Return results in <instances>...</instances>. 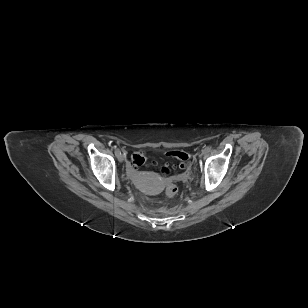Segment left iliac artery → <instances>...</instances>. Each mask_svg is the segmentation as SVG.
Returning a JSON list of instances; mask_svg holds the SVG:
<instances>
[{"label":"left iliac artery","mask_w":308,"mask_h":308,"mask_svg":"<svg viewBox=\"0 0 308 308\" xmlns=\"http://www.w3.org/2000/svg\"><path fill=\"white\" fill-rule=\"evenodd\" d=\"M205 150H207V152H209V151L211 150V146H207V147L205 148Z\"/></svg>","instance_id":"1"}]
</instances>
